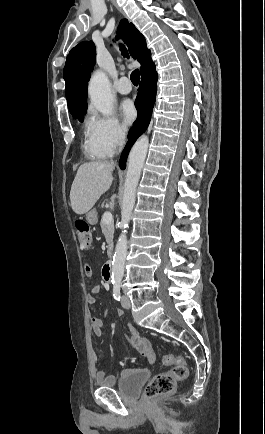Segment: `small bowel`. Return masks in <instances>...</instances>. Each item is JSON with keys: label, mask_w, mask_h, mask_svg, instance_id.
<instances>
[{"label": "small bowel", "mask_w": 265, "mask_h": 434, "mask_svg": "<svg viewBox=\"0 0 265 434\" xmlns=\"http://www.w3.org/2000/svg\"><path fill=\"white\" fill-rule=\"evenodd\" d=\"M101 292V286L95 285L91 288L90 292L86 295V303L89 306L95 304V297ZM118 315L124 316L125 318L128 316L126 313H123L122 306H117ZM108 316V311L105 312L104 317H93L91 319V329L93 335L100 337L103 333L104 319ZM128 329L130 331L131 336H124V341L132 348L136 349L140 353L144 354L148 358L152 359L153 357V349L151 342L148 338L142 336L140 332L128 323ZM94 375L95 378L100 381V385L102 387H112L113 380L112 378H105L104 371L99 366V360L97 357L94 358Z\"/></svg>", "instance_id": "c3829d8e"}]
</instances>
